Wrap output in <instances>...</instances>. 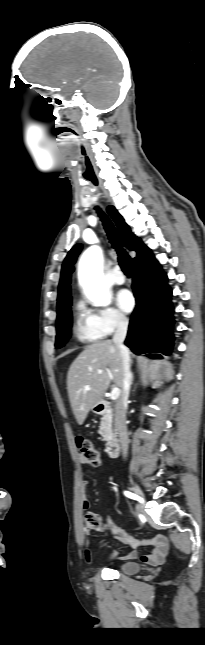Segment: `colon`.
Wrapping results in <instances>:
<instances>
[{
    "mask_svg": "<svg viewBox=\"0 0 205 645\" xmlns=\"http://www.w3.org/2000/svg\"><path fill=\"white\" fill-rule=\"evenodd\" d=\"M76 444L81 454V457L86 461L87 464H90L93 466L100 465L102 461L101 454L89 439L79 436L76 438ZM85 521H86V525L90 529H93V530L102 529V523L94 513L88 512L85 516Z\"/></svg>",
    "mask_w": 205,
    "mask_h": 645,
    "instance_id": "1",
    "label": "colon"
}]
</instances>
